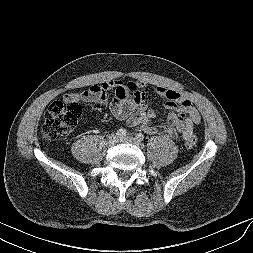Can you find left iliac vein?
<instances>
[{
	"instance_id": "4c4485c4",
	"label": "left iliac vein",
	"mask_w": 253,
	"mask_h": 253,
	"mask_svg": "<svg viewBox=\"0 0 253 253\" xmlns=\"http://www.w3.org/2000/svg\"><path fill=\"white\" fill-rule=\"evenodd\" d=\"M122 142L133 143L139 147H142V143L132 136H126L120 139Z\"/></svg>"
}]
</instances>
